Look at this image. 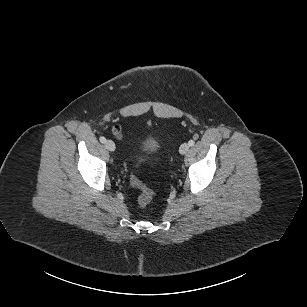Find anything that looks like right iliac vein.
Listing matches in <instances>:
<instances>
[{
  "mask_svg": "<svg viewBox=\"0 0 307 307\" xmlns=\"http://www.w3.org/2000/svg\"><path fill=\"white\" fill-rule=\"evenodd\" d=\"M105 147L108 149L110 152H113L115 150V144L112 140H107L105 142Z\"/></svg>",
  "mask_w": 307,
  "mask_h": 307,
  "instance_id": "63e3f726",
  "label": "right iliac vein"
}]
</instances>
